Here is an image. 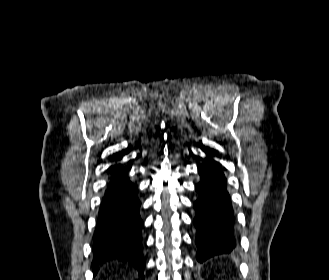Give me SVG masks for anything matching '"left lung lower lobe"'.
Returning a JSON list of instances; mask_svg holds the SVG:
<instances>
[{
	"mask_svg": "<svg viewBox=\"0 0 329 280\" xmlns=\"http://www.w3.org/2000/svg\"><path fill=\"white\" fill-rule=\"evenodd\" d=\"M203 151L208 157L198 169L201 181L195 186L199 198L194 203L199 262L217 254L229 253L236 246L234 215L226 179L220 164L210 157L211 152Z\"/></svg>",
	"mask_w": 329,
	"mask_h": 280,
	"instance_id": "obj_1",
	"label": "left lung lower lobe"
}]
</instances>
